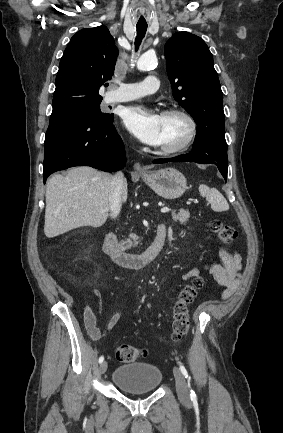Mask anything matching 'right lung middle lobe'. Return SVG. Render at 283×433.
<instances>
[{
  "mask_svg": "<svg viewBox=\"0 0 283 433\" xmlns=\"http://www.w3.org/2000/svg\"><path fill=\"white\" fill-rule=\"evenodd\" d=\"M100 103L101 101L87 103L73 107L68 110L52 113L50 116V120L74 116H97L103 118H109L110 116H112V114H106L101 112Z\"/></svg>",
  "mask_w": 283,
  "mask_h": 433,
  "instance_id": "right-lung-middle-lobe-1",
  "label": "right lung middle lobe"
}]
</instances>
